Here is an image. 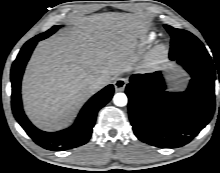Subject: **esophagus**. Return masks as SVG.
I'll list each match as a JSON object with an SVG mask.
<instances>
[{"instance_id": "obj_1", "label": "esophagus", "mask_w": 220, "mask_h": 173, "mask_svg": "<svg viewBox=\"0 0 220 173\" xmlns=\"http://www.w3.org/2000/svg\"><path fill=\"white\" fill-rule=\"evenodd\" d=\"M127 84V79L125 78H118L114 82V87L116 92L124 91Z\"/></svg>"}]
</instances>
